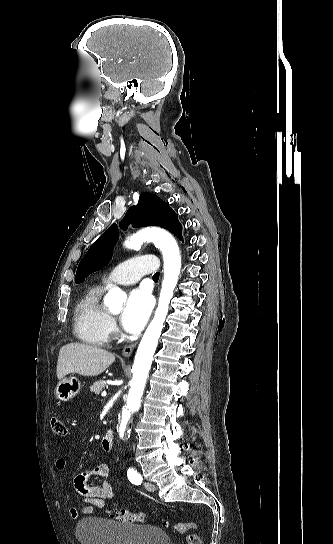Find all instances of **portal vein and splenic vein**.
I'll return each mask as SVG.
<instances>
[{"mask_svg":"<svg viewBox=\"0 0 333 544\" xmlns=\"http://www.w3.org/2000/svg\"><path fill=\"white\" fill-rule=\"evenodd\" d=\"M107 393L106 392H102L101 396L102 397H106Z\"/></svg>","mask_w":333,"mask_h":544,"instance_id":"1","label":"portal vein and splenic vein"}]
</instances>
